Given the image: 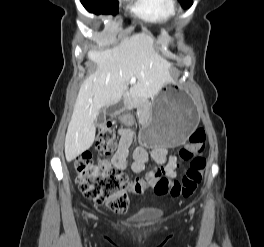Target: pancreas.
I'll use <instances>...</instances> for the list:
<instances>
[{"instance_id":"obj_1","label":"pancreas","mask_w":264,"mask_h":247,"mask_svg":"<svg viewBox=\"0 0 264 247\" xmlns=\"http://www.w3.org/2000/svg\"><path fill=\"white\" fill-rule=\"evenodd\" d=\"M138 103L137 99L132 97V98H127L126 99V104L128 107H132Z\"/></svg>"}]
</instances>
